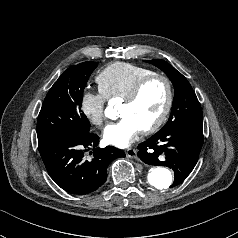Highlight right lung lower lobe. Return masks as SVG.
Returning a JSON list of instances; mask_svg holds the SVG:
<instances>
[{"mask_svg": "<svg viewBox=\"0 0 238 238\" xmlns=\"http://www.w3.org/2000/svg\"><path fill=\"white\" fill-rule=\"evenodd\" d=\"M97 134L88 132L77 136L56 139L39 152L50 177L66 192L85 195L98 190L107 179V166L116 158L125 157L122 150L107 146L98 149ZM93 148L92 159L84 152Z\"/></svg>", "mask_w": 238, "mask_h": 238, "instance_id": "obj_1", "label": "right lung lower lobe"}]
</instances>
